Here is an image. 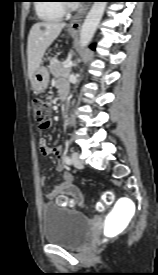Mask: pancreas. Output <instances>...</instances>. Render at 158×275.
Masks as SVG:
<instances>
[{
	"instance_id": "1",
	"label": "pancreas",
	"mask_w": 158,
	"mask_h": 275,
	"mask_svg": "<svg viewBox=\"0 0 158 275\" xmlns=\"http://www.w3.org/2000/svg\"><path fill=\"white\" fill-rule=\"evenodd\" d=\"M49 70L56 78L67 77L71 73V68L63 67V64L57 58L50 59Z\"/></svg>"
}]
</instances>
